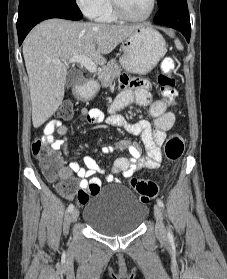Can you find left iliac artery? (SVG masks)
<instances>
[{"mask_svg":"<svg viewBox=\"0 0 227 279\" xmlns=\"http://www.w3.org/2000/svg\"><path fill=\"white\" fill-rule=\"evenodd\" d=\"M157 204L160 206V207H164V203L161 201V200H157ZM168 237L172 238V233L170 231V229L168 228V233H167Z\"/></svg>","mask_w":227,"mask_h":279,"instance_id":"obj_1","label":"left iliac artery"}]
</instances>
